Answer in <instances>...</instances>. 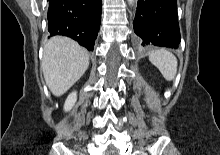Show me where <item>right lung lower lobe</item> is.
Returning <instances> with one entry per match:
<instances>
[{
    "instance_id": "1",
    "label": "right lung lower lobe",
    "mask_w": 220,
    "mask_h": 155,
    "mask_svg": "<svg viewBox=\"0 0 220 155\" xmlns=\"http://www.w3.org/2000/svg\"><path fill=\"white\" fill-rule=\"evenodd\" d=\"M48 31L93 51L101 21V0H49Z\"/></svg>"
}]
</instances>
